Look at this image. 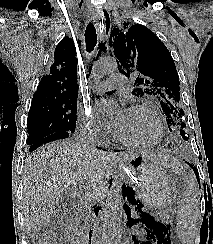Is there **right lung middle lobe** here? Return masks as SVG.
<instances>
[{
    "instance_id": "dd1d6c3e",
    "label": "right lung middle lobe",
    "mask_w": 213,
    "mask_h": 244,
    "mask_svg": "<svg viewBox=\"0 0 213 244\" xmlns=\"http://www.w3.org/2000/svg\"><path fill=\"white\" fill-rule=\"evenodd\" d=\"M77 97H42L32 100L28 113L27 144L58 132L74 133L76 128Z\"/></svg>"
}]
</instances>
